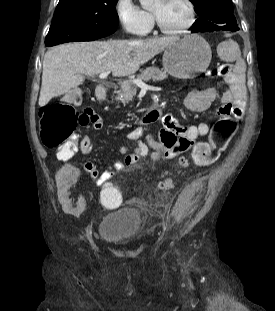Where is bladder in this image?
<instances>
[{
    "label": "bladder",
    "mask_w": 275,
    "mask_h": 311,
    "mask_svg": "<svg viewBox=\"0 0 275 311\" xmlns=\"http://www.w3.org/2000/svg\"><path fill=\"white\" fill-rule=\"evenodd\" d=\"M140 231L141 216L137 210L117 209L106 214L98 226L101 239L120 246L135 240Z\"/></svg>",
    "instance_id": "obj_1"
}]
</instances>
